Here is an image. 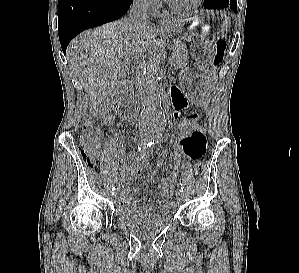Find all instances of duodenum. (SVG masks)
I'll use <instances>...</instances> for the list:
<instances>
[{
  "instance_id": "410a0bca",
  "label": "duodenum",
  "mask_w": 299,
  "mask_h": 273,
  "mask_svg": "<svg viewBox=\"0 0 299 273\" xmlns=\"http://www.w3.org/2000/svg\"><path fill=\"white\" fill-rule=\"evenodd\" d=\"M118 107L120 111L123 112L124 115L127 116L132 122L136 121L137 109L131 98H129L128 96L120 97L118 100ZM170 107V103L167 101L165 103V108L169 110Z\"/></svg>"
}]
</instances>
